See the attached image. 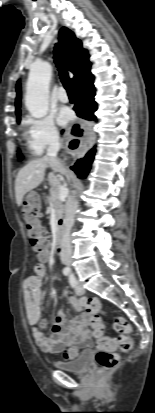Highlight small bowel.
Here are the masks:
<instances>
[{"mask_svg":"<svg viewBox=\"0 0 155 413\" xmlns=\"http://www.w3.org/2000/svg\"><path fill=\"white\" fill-rule=\"evenodd\" d=\"M49 257L48 253L44 259H39L40 263L33 267L32 274L25 279L26 317L32 327V337L41 350L54 354L62 353L65 358L72 359L82 348L91 345L88 327L92 328L93 336L98 338V329L103 333L104 323L102 320H97L90 312H85L87 298L69 297V304L79 315L68 322L66 311H59L51 335L45 334L48 322L42 318L41 303L44 295L43 277L46 272L44 263L49 260ZM111 341L114 348L115 343L112 339Z\"/></svg>","mask_w":155,"mask_h":413,"instance_id":"obj_1","label":"small bowel"}]
</instances>
